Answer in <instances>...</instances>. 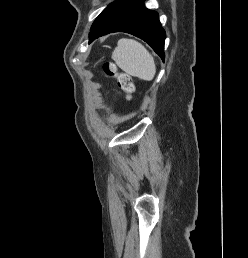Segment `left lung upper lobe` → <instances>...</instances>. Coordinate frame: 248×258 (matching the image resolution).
<instances>
[{"instance_id":"1","label":"left lung upper lobe","mask_w":248,"mask_h":258,"mask_svg":"<svg viewBox=\"0 0 248 258\" xmlns=\"http://www.w3.org/2000/svg\"><path fill=\"white\" fill-rule=\"evenodd\" d=\"M129 0H116L109 4L102 13L96 18L94 21L91 29L98 25L100 22H102L105 18H107L109 15H111L114 11L122 7L124 4H126Z\"/></svg>"}]
</instances>
